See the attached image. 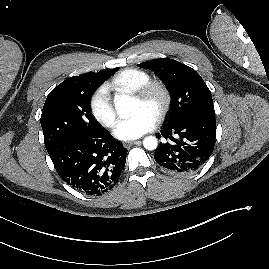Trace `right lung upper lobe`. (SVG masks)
Segmentation results:
<instances>
[{
	"mask_svg": "<svg viewBox=\"0 0 269 269\" xmlns=\"http://www.w3.org/2000/svg\"><path fill=\"white\" fill-rule=\"evenodd\" d=\"M109 71H111V70H102V71L97 72V73H87V74H84V75H81V76L71 77V78H68L67 80L63 81V83L71 82V81L86 80L87 78H89L90 76H92L94 74L107 73Z\"/></svg>",
	"mask_w": 269,
	"mask_h": 269,
	"instance_id": "cb5924a9",
	"label": "right lung upper lobe"
}]
</instances>
